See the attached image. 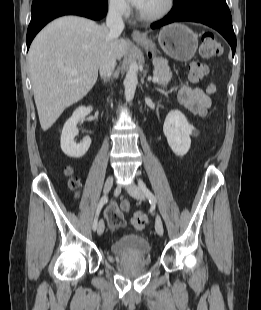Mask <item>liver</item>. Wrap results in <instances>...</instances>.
<instances>
[{"instance_id":"liver-1","label":"liver","mask_w":261,"mask_h":310,"mask_svg":"<svg viewBox=\"0 0 261 310\" xmlns=\"http://www.w3.org/2000/svg\"><path fill=\"white\" fill-rule=\"evenodd\" d=\"M127 49L126 42L119 36L112 37L108 27L83 17L63 16L42 29L28 52L42 130L47 131L67 107L88 94L106 53L120 60Z\"/></svg>"}]
</instances>
